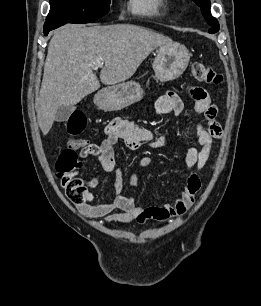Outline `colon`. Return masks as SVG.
Returning a JSON list of instances; mask_svg holds the SVG:
<instances>
[{
    "mask_svg": "<svg viewBox=\"0 0 261 306\" xmlns=\"http://www.w3.org/2000/svg\"><path fill=\"white\" fill-rule=\"evenodd\" d=\"M191 75L194 80L211 85H220L223 82V76L210 67L205 66L200 61H195L191 65ZM86 127V117L82 112H74L67 121V131L72 137L69 140L68 147L60 154L56 169L61 184L65 188L68 198L75 204L83 201V192L85 184L75 171L80 163L77 150L82 149L90 156H96L100 153L99 146L91 144L84 139L76 138Z\"/></svg>",
    "mask_w": 261,
    "mask_h": 306,
    "instance_id": "colon-1",
    "label": "colon"
}]
</instances>
